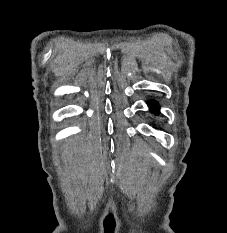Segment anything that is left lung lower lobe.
Listing matches in <instances>:
<instances>
[{
    "label": "left lung lower lobe",
    "instance_id": "1",
    "mask_svg": "<svg viewBox=\"0 0 227 233\" xmlns=\"http://www.w3.org/2000/svg\"><path fill=\"white\" fill-rule=\"evenodd\" d=\"M149 107H150V110L153 112V113H158L159 112V105L158 103L154 102V101H151L148 103Z\"/></svg>",
    "mask_w": 227,
    "mask_h": 233
}]
</instances>
